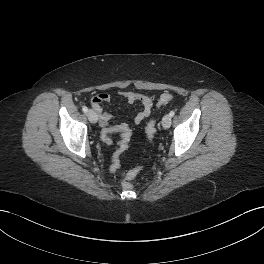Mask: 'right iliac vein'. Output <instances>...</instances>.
<instances>
[{
    "instance_id": "obj_1",
    "label": "right iliac vein",
    "mask_w": 264,
    "mask_h": 264,
    "mask_svg": "<svg viewBox=\"0 0 264 264\" xmlns=\"http://www.w3.org/2000/svg\"><path fill=\"white\" fill-rule=\"evenodd\" d=\"M87 117L91 123H96L98 120L97 115L93 110L87 112Z\"/></svg>"
}]
</instances>
